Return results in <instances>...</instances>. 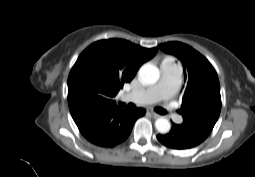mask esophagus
Instances as JSON below:
<instances>
[{
    "instance_id": "obj_1",
    "label": "esophagus",
    "mask_w": 255,
    "mask_h": 177,
    "mask_svg": "<svg viewBox=\"0 0 255 177\" xmlns=\"http://www.w3.org/2000/svg\"><path fill=\"white\" fill-rule=\"evenodd\" d=\"M147 113L150 114L153 118H159L160 115L154 112L152 109H147Z\"/></svg>"
}]
</instances>
